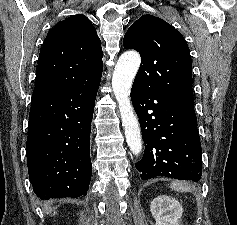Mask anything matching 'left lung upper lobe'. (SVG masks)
I'll list each match as a JSON object with an SVG mask.
<instances>
[{"instance_id": "1", "label": "left lung upper lobe", "mask_w": 237, "mask_h": 225, "mask_svg": "<svg viewBox=\"0 0 237 225\" xmlns=\"http://www.w3.org/2000/svg\"><path fill=\"white\" fill-rule=\"evenodd\" d=\"M123 43L141 55L134 85L147 92L193 98L189 47L173 26L143 15L129 27Z\"/></svg>"}]
</instances>
